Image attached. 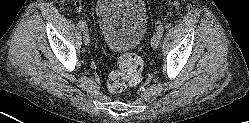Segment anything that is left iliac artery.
I'll return each instance as SVG.
<instances>
[{"label": "left iliac artery", "mask_w": 249, "mask_h": 123, "mask_svg": "<svg viewBox=\"0 0 249 123\" xmlns=\"http://www.w3.org/2000/svg\"><path fill=\"white\" fill-rule=\"evenodd\" d=\"M159 34H161V36H162V34H163V32H164V27H163V25H159L158 27H157V30H156Z\"/></svg>", "instance_id": "left-iliac-artery-1"}]
</instances>
